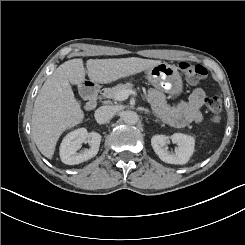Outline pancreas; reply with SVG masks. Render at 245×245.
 <instances>
[{
	"mask_svg": "<svg viewBox=\"0 0 245 245\" xmlns=\"http://www.w3.org/2000/svg\"><path fill=\"white\" fill-rule=\"evenodd\" d=\"M133 84L128 82L126 84H118L112 88H104L102 95L108 99H115L116 94L121 90H132Z\"/></svg>",
	"mask_w": 245,
	"mask_h": 245,
	"instance_id": "1",
	"label": "pancreas"
}]
</instances>
